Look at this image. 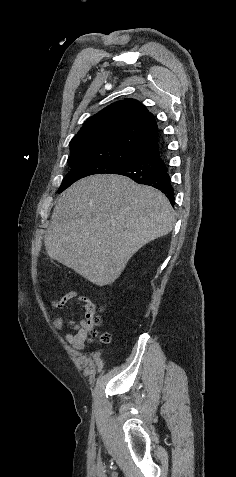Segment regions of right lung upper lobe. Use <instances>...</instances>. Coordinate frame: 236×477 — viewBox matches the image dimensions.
Returning <instances> with one entry per match:
<instances>
[{
    "label": "right lung upper lobe",
    "mask_w": 236,
    "mask_h": 477,
    "mask_svg": "<svg viewBox=\"0 0 236 477\" xmlns=\"http://www.w3.org/2000/svg\"><path fill=\"white\" fill-rule=\"evenodd\" d=\"M158 126L146 107L134 99L115 102L89 118L70 142L68 161L104 158L133 164L158 150Z\"/></svg>",
    "instance_id": "obj_1"
}]
</instances>
